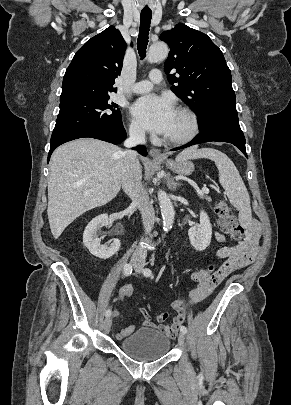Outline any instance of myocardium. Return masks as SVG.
Returning <instances> with one entry per match:
<instances>
[{
	"mask_svg": "<svg viewBox=\"0 0 291 405\" xmlns=\"http://www.w3.org/2000/svg\"><path fill=\"white\" fill-rule=\"evenodd\" d=\"M176 111L184 114L188 120L189 129L188 131L180 137H163V141L172 146H181L184 144L189 143L192 141L197 134L199 133V120L197 115L191 110L189 107L186 106H178Z\"/></svg>",
	"mask_w": 291,
	"mask_h": 405,
	"instance_id": "f54148a6",
	"label": "myocardium"
}]
</instances>
